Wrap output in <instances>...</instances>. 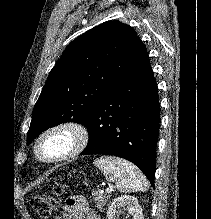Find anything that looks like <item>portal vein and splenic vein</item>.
<instances>
[{
  "label": "portal vein and splenic vein",
  "instance_id": "portal-vein-and-splenic-vein-1",
  "mask_svg": "<svg viewBox=\"0 0 211 219\" xmlns=\"http://www.w3.org/2000/svg\"><path fill=\"white\" fill-rule=\"evenodd\" d=\"M112 190H113V188L109 187V188H107L105 191H106L107 193H111ZM103 192H104V191H100V193H103Z\"/></svg>",
  "mask_w": 211,
  "mask_h": 219
}]
</instances>
